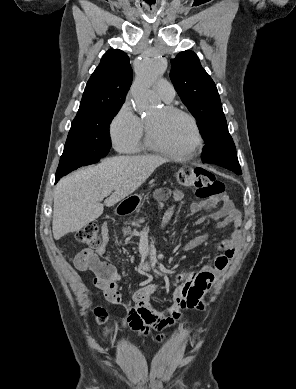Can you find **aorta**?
<instances>
[{"instance_id":"762f6f07","label":"aorta","mask_w":296,"mask_h":389,"mask_svg":"<svg viewBox=\"0 0 296 389\" xmlns=\"http://www.w3.org/2000/svg\"><path fill=\"white\" fill-rule=\"evenodd\" d=\"M167 69V60L159 53H150L136 70L132 85V100L139 111H145L155 104L151 87Z\"/></svg>"}]
</instances>
